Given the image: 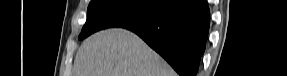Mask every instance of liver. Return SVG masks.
I'll list each match as a JSON object with an SVG mask.
<instances>
[{
	"instance_id": "1",
	"label": "liver",
	"mask_w": 287,
	"mask_h": 76,
	"mask_svg": "<svg viewBox=\"0 0 287 76\" xmlns=\"http://www.w3.org/2000/svg\"><path fill=\"white\" fill-rule=\"evenodd\" d=\"M74 76H176L136 34L121 28L88 37L77 51Z\"/></svg>"
}]
</instances>
